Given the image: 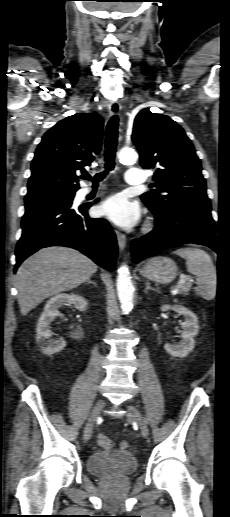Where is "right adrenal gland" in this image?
<instances>
[{
	"label": "right adrenal gland",
	"instance_id": "obj_1",
	"mask_svg": "<svg viewBox=\"0 0 230 517\" xmlns=\"http://www.w3.org/2000/svg\"><path fill=\"white\" fill-rule=\"evenodd\" d=\"M89 283H91V284H93L95 287H97V284H96L95 282H93L92 280H90V279H89L88 281H86V284H89Z\"/></svg>",
	"mask_w": 230,
	"mask_h": 517
}]
</instances>
